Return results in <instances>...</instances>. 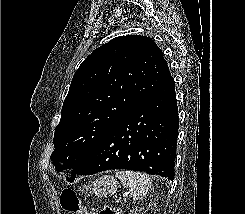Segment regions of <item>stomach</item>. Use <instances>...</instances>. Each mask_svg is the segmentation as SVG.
<instances>
[{"label":"stomach","mask_w":245,"mask_h":214,"mask_svg":"<svg viewBox=\"0 0 245 214\" xmlns=\"http://www.w3.org/2000/svg\"><path fill=\"white\" fill-rule=\"evenodd\" d=\"M119 188L117 180L111 175H104L97 178L94 182L83 185L82 189L90 191L99 197H109Z\"/></svg>","instance_id":"1"}]
</instances>
